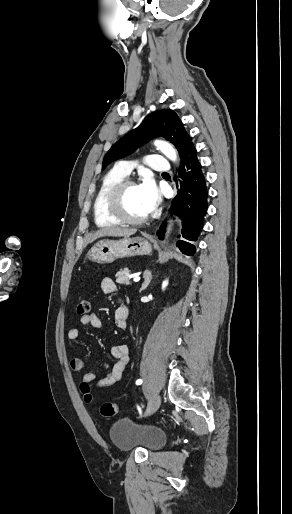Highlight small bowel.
Instances as JSON below:
<instances>
[{
  "mask_svg": "<svg viewBox=\"0 0 292 514\" xmlns=\"http://www.w3.org/2000/svg\"><path fill=\"white\" fill-rule=\"evenodd\" d=\"M101 289L106 294H114L117 291L116 283L112 278L105 277L101 280ZM129 311L126 306L119 305L114 310V323L117 329L125 330L128 326L127 320ZM82 325L90 326L93 329H100L102 321L100 317L95 314H87L80 318ZM81 331L77 327H72L67 332V337L71 341L79 339ZM111 353L116 359L113 365L103 364L106 369V374L103 378L98 380L95 384L98 388L110 387L122 380L124 370L129 362V347L126 344H117L112 347ZM70 367L74 372H81L85 370L86 363L82 358H73L70 361ZM97 378V373L89 371L83 374L81 378L82 383L90 384Z\"/></svg>",
  "mask_w": 292,
  "mask_h": 514,
  "instance_id": "1",
  "label": "small bowel"
}]
</instances>
